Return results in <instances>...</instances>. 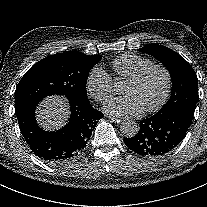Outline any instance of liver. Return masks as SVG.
<instances>
[{
  "instance_id": "1",
  "label": "liver",
  "mask_w": 207,
  "mask_h": 207,
  "mask_svg": "<svg viewBox=\"0 0 207 207\" xmlns=\"http://www.w3.org/2000/svg\"><path fill=\"white\" fill-rule=\"evenodd\" d=\"M36 121L45 131H56L68 123L70 104L65 96L53 95L42 100L36 111Z\"/></svg>"
}]
</instances>
